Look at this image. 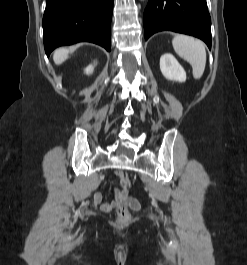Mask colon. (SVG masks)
<instances>
[{
	"mask_svg": "<svg viewBox=\"0 0 247 265\" xmlns=\"http://www.w3.org/2000/svg\"><path fill=\"white\" fill-rule=\"evenodd\" d=\"M118 177L120 179L121 188L123 191H128L130 187V180L124 173L119 172ZM117 223L120 226L126 225L130 220V215L126 205H120L117 208Z\"/></svg>",
	"mask_w": 247,
	"mask_h": 265,
	"instance_id": "1",
	"label": "colon"
}]
</instances>
